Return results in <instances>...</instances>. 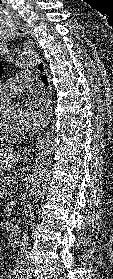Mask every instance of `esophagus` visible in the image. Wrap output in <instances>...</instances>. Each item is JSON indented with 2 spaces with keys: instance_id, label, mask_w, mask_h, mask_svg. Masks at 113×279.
<instances>
[{
  "instance_id": "1",
  "label": "esophagus",
  "mask_w": 113,
  "mask_h": 279,
  "mask_svg": "<svg viewBox=\"0 0 113 279\" xmlns=\"http://www.w3.org/2000/svg\"><path fill=\"white\" fill-rule=\"evenodd\" d=\"M21 28L26 31L27 33L31 34L33 36V33L31 31V29L26 26V25H22ZM38 72L40 73H44L48 76V81H49V85L51 86V77L50 75L48 74V71H47V66H46V63L44 62L43 58H41L38 63H37V66H36ZM31 150H28V154L30 153Z\"/></svg>"
}]
</instances>
